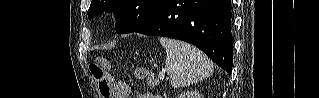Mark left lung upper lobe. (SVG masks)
<instances>
[{
  "instance_id": "1",
  "label": "left lung upper lobe",
  "mask_w": 319,
  "mask_h": 98,
  "mask_svg": "<svg viewBox=\"0 0 319 98\" xmlns=\"http://www.w3.org/2000/svg\"><path fill=\"white\" fill-rule=\"evenodd\" d=\"M162 0H92L88 18L104 11H114L117 17L116 32H135L145 25Z\"/></svg>"
}]
</instances>
